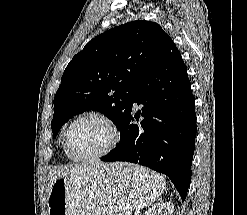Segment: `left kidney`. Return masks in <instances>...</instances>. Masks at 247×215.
Here are the masks:
<instances>
[{
	"label": "left kidney",
	"mask_w": 247,
	"mask_h": 215,
	"mask_svg": "<svg viewBox=\"0 0 247 215\" xmlns=\"http://www.w3.org/2000/svg\"><path fill=\"white\" fill-rule=\"evenodd\" d=\"M174 205L171 202H161L149 208L145 215H173Z\"/></svg>",
	"instance_id": "left-kidney-1"
}]
</instances>
